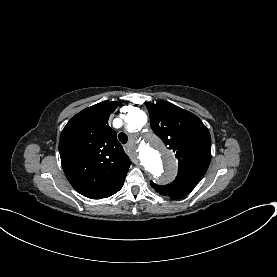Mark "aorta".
<instances>
[{
  "mask_svg": "<svg viewBox=\"0 0 277 277\" xmlns=\"http://www.w3.org/2000/svg\"><path fill=\"white\" fill-rule=\"evenodd\" d=\"M130 132H136L146 124L147 115L142 110H134L126 117ZM139 159L142 166L155 178L165 180L175 174L177 161L173 153L154 134H148L139 144Z\"/></svg>",
  "mask_w": 277,
  "mask_h": 277,
  "instance_id": "762f6f07",
  "label": "aorta"
}]
</instances>
